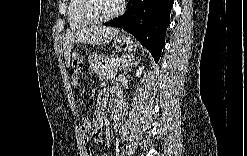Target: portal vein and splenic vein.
<instances>
[{
    "instance_id": "1",
    "label": "portal vein and splenic vein",
    "mask_w": 247,
    "mask_h": 156,
    "mask_svg": "<svg viewBox=\"0 0 247 156\" xmlns=\"http://www.w3.org/2000/svg\"><path fill=\"white\" fill-rule=\"evenodd\" d=\"M116 62L119 64L123 63V62H125V58H117Z\"/></svg>"
}]
</instances>
